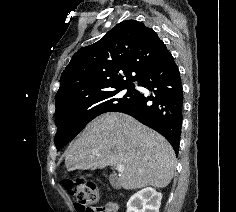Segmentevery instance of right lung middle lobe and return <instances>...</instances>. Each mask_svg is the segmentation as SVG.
<instances>
[{"instance_id": "1", "label": "right lung middle lobe", "mask_w": 236, "mask_h": 212, "mask_svg": "<svg viewBox=\"0 0 236 212\" xmlns=\"http://www.w3.org/2000/svg\"><path fill=\"white\" fill-rule=\"evenodd\" d=\"M124 89H127L125 94L122 92ZM136 94L134 85L122 86L79 99L56 111L57 151L70 142L95 117L116 111L131 103Z\"/></svg>"}]
</instances>
